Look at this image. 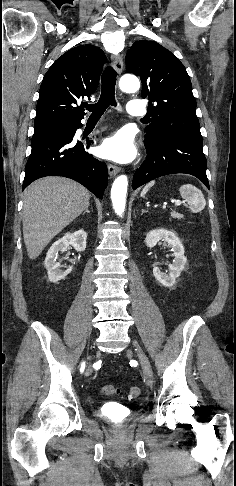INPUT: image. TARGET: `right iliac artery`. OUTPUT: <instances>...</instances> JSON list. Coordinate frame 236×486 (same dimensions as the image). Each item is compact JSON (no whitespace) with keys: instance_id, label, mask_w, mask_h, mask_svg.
<instances>
[{"instance_id":"obj_1","label":"right iliac artery","mask_w":236,"mask_h":486,"mask_svg":"<svg viewBox=\"0 0 236 486\" xmlns=\"http://www.w3.org/2000/svg\"><path fill=\"white\" fill-rule=\"evenodd\" d=\"M84 368H85V363L83 362L82 365H81L80 371L83 372Z\"/></svg>"}]
</instances>
